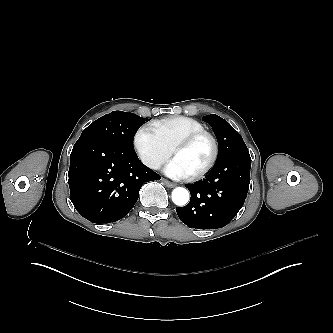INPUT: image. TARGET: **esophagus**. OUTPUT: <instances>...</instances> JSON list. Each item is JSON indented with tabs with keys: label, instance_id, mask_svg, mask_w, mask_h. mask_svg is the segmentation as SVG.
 <instances>
[{
	"label": "esophagus",
	"instance_id": "34e87169",
	"mask_svg": "<svg viewBox=\"0 0 333 333\" xmlns=\"http://www.w3.org/2000/svg\"><path fill=\"white\" fill-rule=\"evenodd\" d=\"M161 180H162V182H164V183H165V185H166L167 187H169V188H173V187H175V186H176V184H175V183H173V182L169 181V180H168V179H166V178H162Z\"/></svg>",
	"mask_w": 333,
	"mask_h": 333
}]
</instances>
